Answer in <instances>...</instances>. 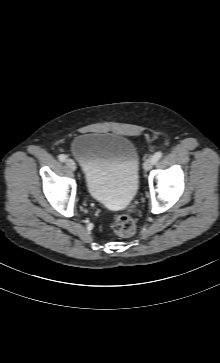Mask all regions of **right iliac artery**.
<instances>
[{"instance_id":"right-iliac-artery-1","label":"right iliac artery","mask_w":220,"mask_h":363,"mask_svg":"<svg viewBox=\"0 0 220 363\" xmlns=\"http://www.w3.org/2000/svg\"><path fill=\"white\" fill-rule=\"evenodd\" d=\"M58 158H59V160H60L61 162H65V161H66V156H65L64 154H60V155L58 156Z\"/></svg>"}]
</instances>
